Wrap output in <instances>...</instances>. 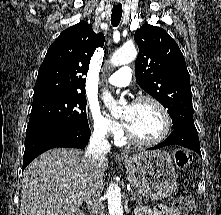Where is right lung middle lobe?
I'll return each instance as SVG.
<instances>
[{"label":"right lung middle lobe","mask_w":221,"mask_h":215,"mask_svg":"<svg viewBox=\"0 0 221 215\" xmlns=\"http://www.w3.org/2000/svg\"><path fill=\"white\" fill-rule=\"evenodd\" d=\"M87 127L84 94H59L33 101L26 135L48 129L75 132Z\"/></svg>","instance_id":"dd1d6c3e"}]
</instances>
